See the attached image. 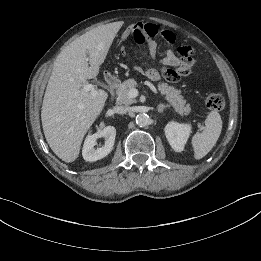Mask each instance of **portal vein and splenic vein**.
Instances as JSON below:
<instances>
[{
	"instance_id": "obj_1",
	"label": "portal vein and splenic vein",
	"mask_w": 261,
	"mask_h": 261,
	"mask_svg": "<svg viewBox=\"0 0 261 261\" xmlns=\"http://www.w3.org/2000/svg\"><path fill=\"white\" fill-rule=\"evenodd\" d=\"M83 89H84V91H86V92H91V93H93V94H94V92H95V86H94L93 84H89V83H88V84H85L84 87H83ZM138 93H139L138 89L133 88V89H131V90L128 92V97H129V98H135V97L138 96ZM199 128H200L201 130L204 129V127H203L202 125H199Z\"/></svg>"
}]
</instances>
